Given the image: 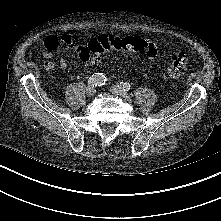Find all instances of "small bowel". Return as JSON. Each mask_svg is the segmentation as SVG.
Returning a JSON list of instances; mask_svg holds the SVG:
<instances>
[{"label":"small bowel","instance_id":"small-bowel-1","mask_svg":"<svg viewBox=\"0 0 221 221\" xmlns=\"http://www.w3.org/2000/svg\"><path fill=\"white\" fill-rule=\"evenodd\" d=\"M60 42H63L66 46L71 49H74L76 53L80 57L81 50L85 48V46L76 44L74 40L67 36L63 35L60 38L55 36H49L44 40V50L42 51L43 57L46 58L44 62V67L47 70H52L57 64L60 69L65 70L68 68V62L63 57H56L54 55V51H56L59 47ZM147 59L149 61H153L157 56V48L155 44L151 41H147V49L145 51Z\"/></svg>","mask_w":221,"mask_h":221}]
</instances>
